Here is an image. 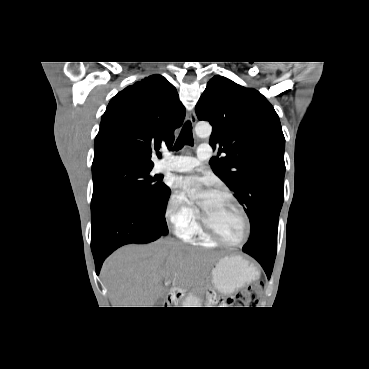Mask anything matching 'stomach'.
Here are the masks:
<instances>
[{
	"instance_id": "obj_1",
	"label": "stomach",
	"mask_w": 369,
	"mask_h": 369,
	"mask_svg": "<svg viewBox=\"0 0 369 369\" xmlns=\"http://www.w3.org/2000/svg\"><path fill=\"white\" fill-rule=\"evenodd\" d=\"M256 275L253 266L240 256H229L219 260L212 270L214 288L222 294H231L250 282Z\"/></svg>"
}]
</instances>
